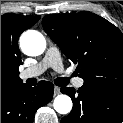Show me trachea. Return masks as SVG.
I'll return each instance as SVG.
<instances>
[{
  "instance_id": "obj_1",
  "label": "trachea",
  "mask_w": 123,
  "mask_h": 123,
  "mask_svg": "<svg viewBox=\"0 0 123 123\" xmlns=\"http://www.w3.org/2000/svg\"><path fill=\"white\" fill-rule=\"evenodd\" d=\"M54 83L57 86L63 87V86H66L69 83V78H56L54 80Z\"/></svg>"
}]
</instances>
